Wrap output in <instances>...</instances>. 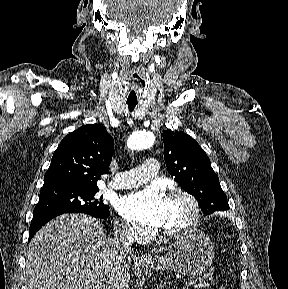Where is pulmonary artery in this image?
Segmentation results:
<instances>
[{"label":"pulmonary artery","instance_id":"1","mask_svg":"<svg viewBox=\"0 0 288 289\" xmlns=\"http://www.w3.org/2000/svg\"><path fill=\"white\" fill-rule=\"evenodd\" d=\"M158 171V161L155 158H148L141 166L116 173L108 183V187L113 189L133 188L152 179L158 174Z\"/></svg>","mask_w":288,"mask_h":289}]
</instances>
